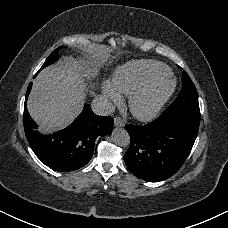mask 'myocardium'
<instances>
[{
    "label": "myocardium",
    "mask_w": 228,
    "mask_h": 228,
    "mask_svg": "<svg viewBox=\"0 0 228 228\" xmlns=\"http://www.w3.org/2000/svg\"><path fill=\"white\" fill-rule=\"evenodd\" d=\"M164 83L167 84L168 87L163 92V94L153 103H151L147 108H143L141 104L145 100V98L150 94L152 89L157 85L164 84ZM171 92H172V86L170 85V82L168 80L163 79V80L151 82L145 85L139 91H137L131 97L130 110L136 118L144 121H149L154 118V116L158 113L160 108L168 100V98L171 95Z\"/></svg>",
    "instance_id": "myocardium-1"
}]
</instances>
